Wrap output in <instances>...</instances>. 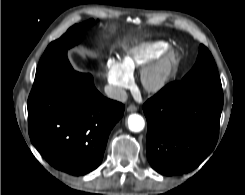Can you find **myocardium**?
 Returning <instances> with one entry per match:
<instances>
[{
  "mask_svg": "<svg viewBox=\"0 0 245 195\" xmlns=\"http://www.w3.org/2000/svg\"><path fill=\"white\" fill-rule=\"evenodd\" d=\"M180 62L179 53L168 50L156 61L141 72L140 80L143 88L151 93L160 91L169 82Z\"/></svg>",
  "mask_w": 245,
  "mask_h": 195,
  "instance_id": "obj_1",
  "label": "myocardium"
}]
</instances>
